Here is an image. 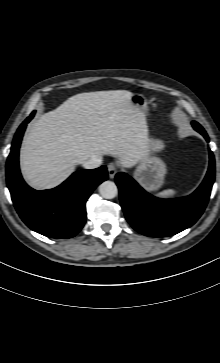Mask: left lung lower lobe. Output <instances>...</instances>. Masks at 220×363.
Here are the masks:
<instances>
[{
    "mask_svg": "<svg viewBox=\"0 0 220 363\" xmlns=\"http://www.w3.org/2000/svg\"><path fill=\"white\" fill-rule=\"evenodd\" d=\"M194 124L200 126L193 121L192 125ZM199 133L209 142L205 130ZM209 155L210 164L205 179L195 192L182 199L155 198L127 174L118 173L115 181L119 188L123 211L131 226L139 233L150 237L171 236L192 226L202 215L214 183L215 161L211 150Z\"/></svg>",
    "mask_w": 220,
    "mask_h": 363,
    "instance_id": "left-lung-lower-lobe-1",
    "label": "left lung lower lobe"
}]
</instances>
